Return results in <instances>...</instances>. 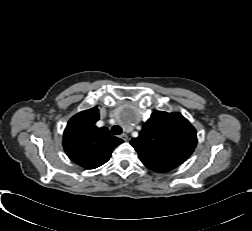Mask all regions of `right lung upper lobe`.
<instances>
[{"mask_svg":"<svg viewBox=\"0 0 252 231\" xmlns=\"http://www.w3.org/2000/svg\"><path fill=\"white\" fill-rule=\"evenodd\" d=\"M98 109L91 108L76 114L68 122L63 135V146L68 157L86 169L106 163L113 149L123 142L110 135L106 127L98 128Z\"/></svg>","mask_w":252,"mask_h":231,"instance_id":"right-lung-upper-lobe-1","label":"right lung upper lobe"}]
</instances>
